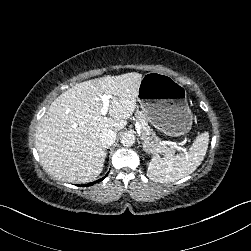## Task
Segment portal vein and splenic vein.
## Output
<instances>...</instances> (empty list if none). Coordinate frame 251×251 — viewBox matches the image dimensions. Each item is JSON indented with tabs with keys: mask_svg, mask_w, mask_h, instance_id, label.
I'll return each instance as SVG.
<instances>
[{
	"mask_svg": "<svg viewBox=\"0 0 251 251\" xmlns=\"http://www.w3.org/2000/svg\"><path fill=\"white\" fill-rule=\"evenodd\" d=\"M112 98V95H102L100 97V101L103 104V108L100 110V115L101 116H105L107 114L108 111V107H109V99ZM135 128L140 131V125L138 123V121L135 122ZM140 140L144 139L143 135L139 136ZM164 146H172L175 147L177 150H179L180 152H186L188 150V147L186 145H182L180 144L179 141L176 140H172V141H164L163 142Z\"/></svg>",
	"mask_w": 251,
	"mask_h": 251,
	"instance_id": "portal-vein-and-splenic-vein-1",
	"label": "portal vein and splenic vein"
}]
</instances>
